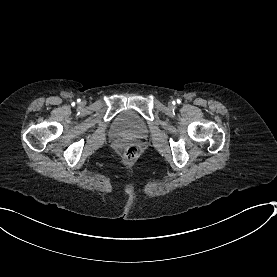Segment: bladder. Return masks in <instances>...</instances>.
Masks as SVG:
<instances>
[{
	"label": "bladder",
	"mask_w": 277,
	"mask_h": 277,
	"mask_svg": "<svg viewBox=\"0 0 277 277\" xmlns=\"http://www.w3.org/2000/svg\"><path fill=\"white\" fill-rule=\"evenodd\" d=\"M110 127L117 139H142L149 130L146 119L138 111L131 109H124L117 113Z\"/></svg>",
	"instance_id": "1"
}]
</instances>
